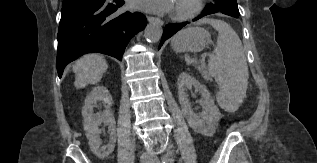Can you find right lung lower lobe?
<instances>
[{
	"instance_id": "1",
	"label": "right lung lower lobe",
	"mask_w": 317,
	"mask_h": 163,
	"mask_svg": "<svg viewBox=\"0 0 317 163\" xmlns=\"http://www.w3.org/2000/svg\"><path fill=\"white\" fill-rule=\"evenodd\" d=\"M124 0H86L62 8L57 71L83 54L100 52L122 60L129 40L147 24L139 12H121Z\"/></svg>"
}]
</instances>
